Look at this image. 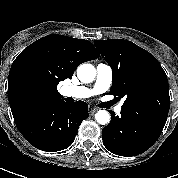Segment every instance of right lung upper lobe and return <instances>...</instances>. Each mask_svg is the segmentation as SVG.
<instances>
[{
  "instance_id": "1",
  "label": "right lung upper lobe",
  "mask_w": 178,
  "mask_h": 178,
  "mask_svg": "<svg viewBox=\"0 0 178 178\" xmlns=\"http://www.w3.org/2000/svg\"><path fill=\"white\" fill-rule=\"evenodd\" d=\"M99 57L91 42L51 34L26 47L14 60L8 78L12 114L28 105L56 101L60 81L72 78L75 69Z\"/></svg>"
}]
</instances>
